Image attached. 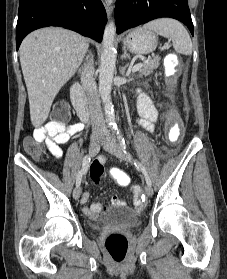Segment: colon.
<instances>
[{
	"label": "colon",
	"mask_w": 227,
	"mask_h": 279,
	"mask_svg": "<svg viewBox=\"0 0 227 279\" xmlns=\"http://www.w3.org/2000/svg\"><path fill=\"white\" fill-rule=\"evenodd\" d=\"M54 118L50 119V124L57 126L58 129H62L66 126L68 118V109L64 103H59L55 106L53 110ZM25 150L34 158L42 159L44 157V152L42 145L36 141L30 140L25 143ZM102 171L100 165H93L91 167V173L97 174ZM114 180L121 186H128L130 184L129 175L120 169H115L113 172ZM136 203L140 204L141 201L137 200ZM106 249L109 255L115 261H122L125 258L127 251L126 240L119 235H112L106 240Z\"/></svg>",
	"instance_id": "obj_1"
}]
</instances>
